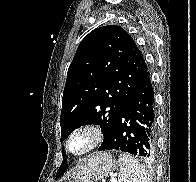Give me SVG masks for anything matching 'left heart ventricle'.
<instances>
[{
	"label": "left heart ventricle",
	"mask_w": 196,
	"mask_h": 182,
	"mask_svg": "<svg viewBox=\"0 0 196 182\" xmlns=\"http://www.w3.org/2000/svg\"><path fill=\"white\" fill-rule=\"evenodd\" d=\"M86 145V139L84 137H76L71 144L72 150L78 152Z\"/></svg>",
	"instance_id": "1"
}]
</instances>
